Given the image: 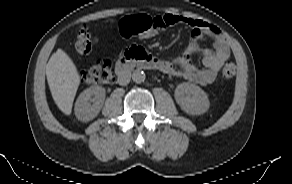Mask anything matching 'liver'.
I'll return each instance as SVG.
<instances>
[{
	"instance_id": "liver-1",
	"label": "liver",
	"mask_w": 292,
	"mask_h": 184,
	"mask_svg": "<svg viewBox=\"0 0 292 184\" xmlns=\"http://www.w3.org/2000/svg\"><path fill=\"white\" fill-rule=\"evenodd\" d=\"M46 77L56 105L64 114L70 115L80 75L72 59L62 49L50 57L46 65Z\"/></svg>"
}]
</instances>
